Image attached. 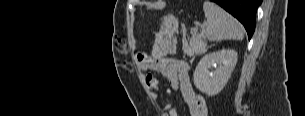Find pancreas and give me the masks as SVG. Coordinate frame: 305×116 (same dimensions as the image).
Returning a JSON list of instances; mask_svg holds the SVG:
<instances>
[{"instance_id": "cf45deb5", "label": "pancreas", "mask_w": 305, "mask_h": 116, "mask_svg": "<svg viewBox=\"0 0 305 116\" xmlns=\"http://www.w3.org/2000/svg\"><path fill=\"white\" fill-rule=\"evenodd\" d=\"M207 42L203 34L192 33V37L189 39V46L184 45L183 51L190 57L203 54L206 51Z\"/></svg>"}]
</instances>
